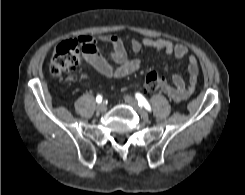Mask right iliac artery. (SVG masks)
I'll return each mask as SVG.
<instances>
[{
    "label": "right iliac artery",
    "instance_id": "right-iliac-artery-1",
    "mask_svg": "<svg viewBox=\"0 0 245 195\" xmlns=\"http://www.w3.org/2000/svg\"><path fill=\"white\" fill-rule=\"evenodd\" d=\"M96 102H97V103H101V102H102V96H101V95H98V96L96 97Z\"/></svg>",
    "mask_w": 245,
    "mask_h": 195
}]
</instances>
